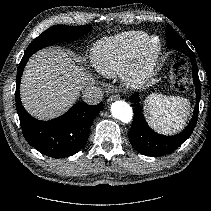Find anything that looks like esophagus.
<instances>
[{"label":"esophagus","mask_w":211,"mask_h":211,"mask_svg":"<svg viewBox=\"0 0 211 211\" xmlns=\"http://www.w3.org/2000/svg\"><path fill=\"white\" fill-rule=\"evenodd\" d=\"M119 98V96L118 95H111L109 98H108V102H112V101H114V100H116V99H118Z\"/></svg>","instance_id":"1"}]
</instances>
